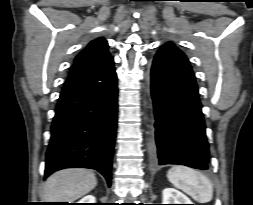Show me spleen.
I'll return each mask as SVG.
<instances>
[{"label": "spleen", "instance_id": "3e777b00", "mask_svg": "<svg viewBox=\"0 0 253 205\" xmlns=\"http://www.w3.org/2000/svg\"><path fill=\"white\" fill-rule=\"evenodd\" d=\"M168 180L199 203L210 202L213 198L211 181L200 172L187 166H173L167 173Z\"/></svg>", "mask_w": 253, "mask_h": 205}]
</instances>
